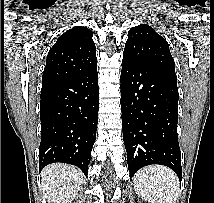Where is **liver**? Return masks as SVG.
Masks as SVG:
<instances>
[{
	"instance_id": "1",
	"label": "liver",
	"mask_w": 214,
	"mask_h": 203,
	"mask_svg": "<svg viewBox=\"0 0 214 203\" xmlns=\"http://www.w3.org/2000/svg\"><path fill=\"white\" fill-rule=\"evenodd\" d=\"M83 173L75 166L54 163L41 172V187L48 203H71L83 183Z\"/></svg>"
}]
</instances>
